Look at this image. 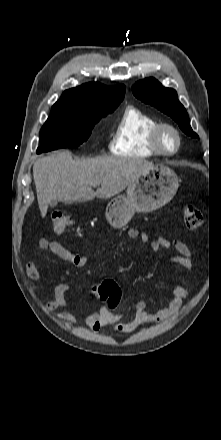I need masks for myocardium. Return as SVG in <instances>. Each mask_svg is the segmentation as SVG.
<instances>
[{
  "mask_svg": "<svg viewBox=\"0 0 221 440\" xmlns=\"http://www.w3.org/2000/svg\"><path fill=\"white\" fill-rule=\"evenodd\" d=\"M166 131H170L175 137V146L167 149L163 145V135ZM151 145L154 151L162 156H173L177 154L182 145V136L179 129L171 123L159 122L151 131Z\"/></svg>",
  "mask_w": 221,
  "mask_h": 440,
  "instance_id": "myocardium-1",
  "label": "myocardium"
}]
</instances>
